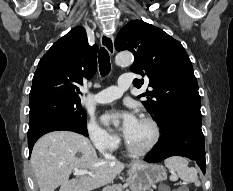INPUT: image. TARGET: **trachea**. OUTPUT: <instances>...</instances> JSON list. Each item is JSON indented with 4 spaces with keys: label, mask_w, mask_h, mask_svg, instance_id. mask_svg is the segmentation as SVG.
I'll return each mask as SVG.
<instances>
[{
    "label": "trachea",
    "mask_w": 233,
    "mask_h": 191,
    "mask_svg": "<svg viewBox=\"0 0 233 191\" xmlns=\"http://www.w3.org/2000/svg\"><path fill=\"white\" fill-rule=\"evenodd\" d=\"M98 62L101 76L107 75L110 72L111 64L109 53L103 47L98 52Z\"/></svg>",
    "instance_id": "trachea-1"
}]
</instances>
